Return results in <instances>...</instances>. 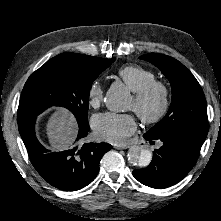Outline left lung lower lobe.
Instances as JSON below:
<instances>
[{
	"mask_svg": "<svg viewBox=\"0 0 221 221\" xmlns=\"http://www.w3.org/2000/svg\"><path fill=\"white\" fill-rule=\"evenodd\" d=\"M150 141L161 140L163 145L153 152L151 163L143 169L134 170V177L152 188H166L182 180L195 165L202 144L183 137L156 138L145 133Z\"/></svg>",
	"mask_w": 221,
	"mask_h": 221,
	"instance_id": "obj_1",
	"label": "left lung lower lobe"
}]
</instances>
